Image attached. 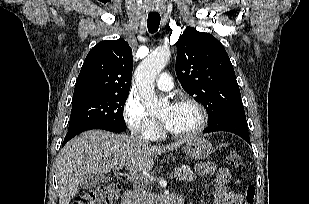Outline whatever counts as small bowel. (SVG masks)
<instances>
[{"instance_id": "obj_1", "label": "small bowel", "mask_w": 309, "mask_h": 204, "mask_svg": "<svg viewBox=\"0 0 309 204\" xmlns=\"http://www.w3.org/2000/svg\"><path fill=\"white\" fill-rule=\"evenodd\" d=\"M198 170L202 174L214 175L213 184L215 195L213 204H243V195L229 187V183L233 179V173L229 168H216L213 163L206 162L199 165ZM235 183L238 186L242 185V182L239 179H236Z\"/></svg>"}]
</instances>
